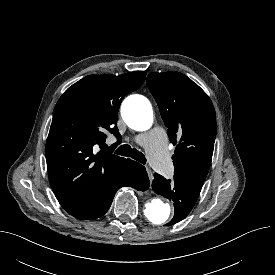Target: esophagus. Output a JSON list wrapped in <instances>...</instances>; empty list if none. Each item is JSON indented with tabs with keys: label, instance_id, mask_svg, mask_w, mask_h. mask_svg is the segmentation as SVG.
I'll return each instance as SVG.
<instances>
[{
	"label": "esophagus",
	"instance_id": "obj_1",
	"mask_svg": "<svg viewBox=\"0 0 275 275\" xmlns=\"http://www.w3.org/2000/svg\"><path fill=\"white\" fill-rule=\"evenodd\" d=\"M146 171H147V174H148L149 179L151 181L152 178H153V172H152V170L149 167H146Z\"/></svg>",
	"mask_w": 275,
	"mask_h": 275
}]
</instances>
